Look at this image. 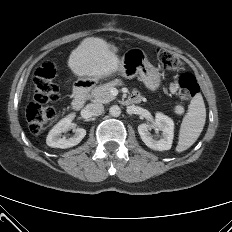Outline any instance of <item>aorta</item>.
I'll list each match as a JSON object with an SVG mask.
<instances>
[{
    "instance_id": "obj_1",
    "label": "aorta",
    "mask_w": 232,
    "mask_h": 232,
    "mask_svg": "<svg viewBox=\"0 0 232 232\" xmlns=\"http://www.w3.org/2000/svg\"><path fill=\"white\" fill-rule=\"evenodd\" d=\"M109 113L113 117H118L121 114V109L118 105H113L110 107Z\"/></svg>"
}]
</instances>
